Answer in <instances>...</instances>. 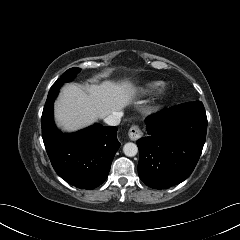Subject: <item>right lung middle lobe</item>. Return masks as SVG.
<instances>
[{"label":"right lung middle lobe","instance_id":"1","mask_svg":"<svg viewBox=\"0 0 240 240\" xmlns=\"http://www.w3.org/2000/svg\"><path fill=\"white\" fill-rule=\"evenodd\" d=\"M80 71V68H70L68 69L51 87L49 94L51 92L59 90V88L65 83L71 81L76 73Z\"/></svg>","mask_w":240,"mask_h":240}]
</instances>
